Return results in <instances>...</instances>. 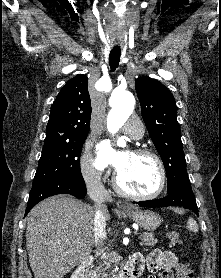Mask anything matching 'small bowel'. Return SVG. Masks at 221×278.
<instances>
[{
  "label": "small bowel",
  "instance_id": "c3829d8e",
  "mask_svg": "<svg viewBox=\"0 0 221 278\" xmlns=\"http://www.w3.org/2000/svg\"><path fill=\"white\" fill-rule=\"evenodd\" d=\"M140 269L144 266L150 272L149 278H174L173 271L179 270L181 266H188L186 263H180L177 256L170 251L154 250L146 258L135 257Z\"/></svg>",
  "mask_w": 221,
  "mask_h": 278
}]
</instances>
